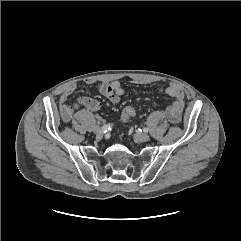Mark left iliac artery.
Masks as SVG:
<instances>
[{"label": "left iliac artery", "mask_w": 241, "mask_h": 241, "mask_svg": "<svg viewBox=\"0 0 241 241\" xmlns=\"http://www.w3.org/2000/svg\"><path fill=\"white\" fill-rule=\"evenodd\" d=\"M143 131H144V132H148L149 129H148V128H143Z\"/></svg>", "instance_id": "1"}]
</instances>
